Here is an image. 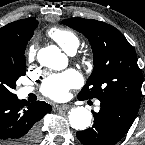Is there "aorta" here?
<instances>
[{
  "mask_svg": "<svg viewBox=\"0 0 145 145\" xmlns=\"http://www.w3.org/2000/svg\"><path fill=\"white\" fill-rule=\"evenodd\" d=\"M38 62L54 70H63L68 65V59L57 46L41 48L37 53ZM69 122L76 130L87 129L92 121L91 112L83 106L73 108L69 112Z\"/></svg>",
  "mask_w": 145,
  "mask_h": 145,
  "instance_id": "762f6f07",
  "label": "aorta"
}]
</instances>
